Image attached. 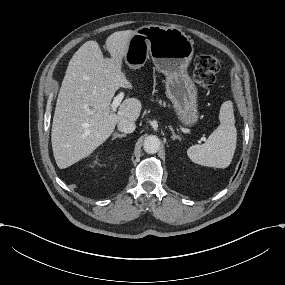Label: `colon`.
Here are the masks:
<instances>
[{"mask_svg":"<svg viewBox=\"0 0 285 285\" xmlns=\"http://www.w3.org/2000/svg\"><path fill=\"white\" fill-rule=\"evenodd\" d=\"M219 57L206 53L195 60L193 78L198 86L205 90L211 89L216 81V74L220 67Z\"/></svg>","mask_w":285,"mask_h":285,"instance_id":"obj_1","label":"colon"}]
</instances>
